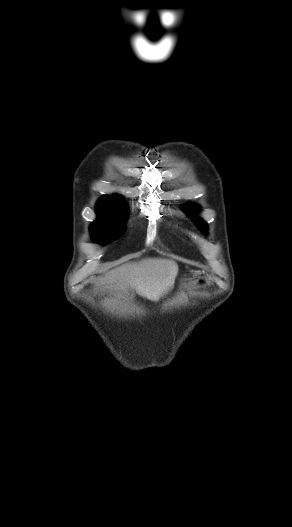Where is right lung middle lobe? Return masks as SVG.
Returning <instances> with one entry per match:
<instances>
[{
    "label": "right lung middle lobe",
    "mask_w": 292,
    "mask_h": 527,
    "mask_svg": "<svg viewBox=\"0 0 292 527\" xmlns=\"http://www.w3.org/2000/svg\"><path fill=\"white\" fill-rule=\"evenodd\" d=\"M96 208L98 219L90 227L92 239L104 243L117 239L124 231L127 207L98 203Z\"/></svg>",
    "instance_id": "dd1d6c3e"
}]
</instances>
